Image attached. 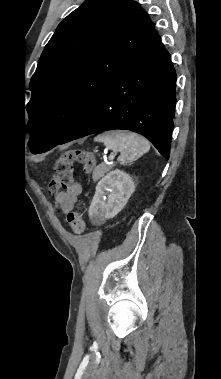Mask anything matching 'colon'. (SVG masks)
I'll return each mask as SVG.
<instances>
[{"label":"colon","instance_id":"obj_1","mask_svg":"<svg viewBox=\"0 0 221 379\" xmlns=\"http://www.w3.org/2000/svg\"><path fill=\"white\" fill-rule=\"evenodd\" d=\"M76 163H80L85 172H91L95 166V159L91 153L81 149L63 152L55 164V173L48 185L51 193L53 190L68 189L74 184L73 172ZM67 220L75 234L85 232V222L79 212L69 213Z\"/></svg>","mask_w":221,"mask_h":379}]
</instances>
